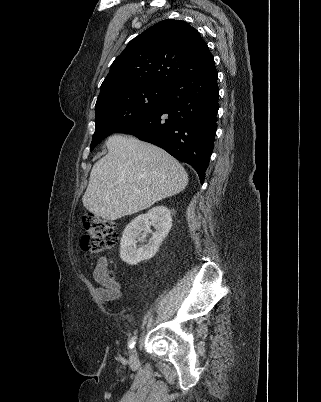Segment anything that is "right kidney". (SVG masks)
Here are the masks:
<instances>
[{
    "mask_svg": "<svg viewBox=\"0 0 321 402\" xmlns=\"http://www.w3.org/2000/svg\"><path fill=\"white\" fill-rule=\"evenodd\" d=\"M153 225L155 232L148 243L137 247V240L143 239ZM172 227L171 211L165 206H156L146 214H141L132 220L124 229L120 242V258L129 265L151 259L159 249L163 239Z\"/></svg>",
    "mask_w": 321,
    "mask_h": 402,
    "instance_id": "ca27d5eb",
    "label": "right kidney"
}]
</instances>
